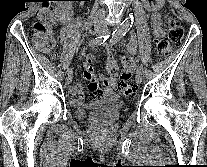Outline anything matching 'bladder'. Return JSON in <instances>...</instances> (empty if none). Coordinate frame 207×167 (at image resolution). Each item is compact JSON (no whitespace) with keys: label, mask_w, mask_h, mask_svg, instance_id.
<instances>
[{"label":"bladder","mask_w":207,"mask_h":167,"mask_svg":"<svg viewBox=\"0 0 207 167\" xmlns=\"http://www.w3.org/2000/svg\"><path fill=\"white\" fill-rule=\"evenodd\" d=\"M122 110V103L115 97H109L101 101L82 104L77 110V115L81 119H87L93 112L113 114Z\"/></svg>","instance_id":"obj_1"}]
</instances>
